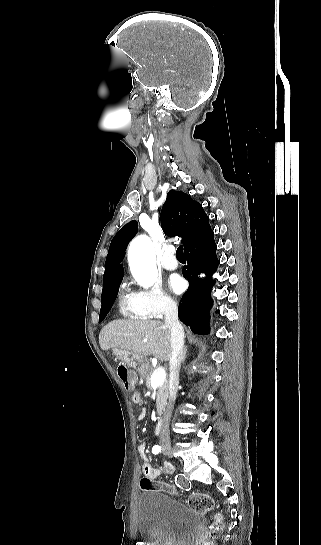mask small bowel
<instances>
[{
	"label": "small bowel",
	"mask_w": 321,
	"mask_h": 545,
	"mask_svg": "<svg viewBox=\"0 0 321 545\" xmlns=\"http://www.w3.org/2000/svg\"><path fill=\"white\" fill-rule=\"evenodd\" d=\"M132 400H133L134 403L140 404L141 401H142L140 393L139 392H134L133 396H132ZM143 417H144V411H142L139 414L138 419L141 420ZM138 451H139V458H140V461H141L142 472L146 477H148L150 479H156L159 476L167 475V474H170V473L173 472L174 468L169 463H165L164 465H162L160 467H157V468H153L151 466V464H150V462L148 460V457H147V451H146L145 443H142V444L139 445Z\"/></svg>",
	"instance_id": "c3829d8e"
}]
</instances>
